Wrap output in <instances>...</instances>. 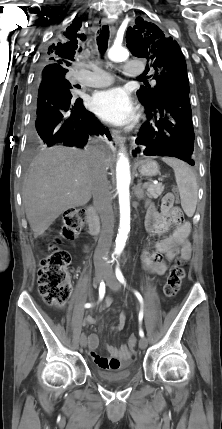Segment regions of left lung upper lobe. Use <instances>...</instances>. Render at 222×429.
<instances>
[{"mask_svg": "<svg viewBox=\"0 0 222 429\" xmlns=\"http://www.w3.org/2000/svg\"><path fill=\"white\" fill-rule=\"evenodd\" d=\"M136 25L129 27L126 35L127 47L138 58L153 61L156 73L154 88L141 86L137 91L140 101L155 104L163 90L177 87L189 92V81L184 55L172 37H166L160 28L142 18L135 20Z\"/></svg>", "mask_w": 222, "mask_h": 429, "instance_id": "obj_1", "label": "left lung upper lobe"}]
</instances>
